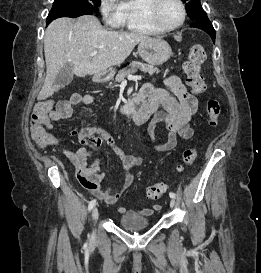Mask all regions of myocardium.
I'll return each mask as SVG.
<instances>
[{
	"mask_svg": "<svg viewBox=\"0 0 261 273\" xmlns=\"http://www.w3.org/2000/svg\"><path fill=\"white\" fill-rule=\"evenodd\" d=\"M175 1L178 3V5L180 7L182 16H181L180 22L173 27H166L159 20L158 11H159V8H160L163 0H152L151 4L149 5V19H150L151 23L156 28H158L161 32L175 31V30L179 29L184 24V22L186 20L187 12H186V7H185L183 1L182 0H175Z\"/></svg>",
	"mask_w": 261,
	"mask_h": 273,
	"instance_id": "myocardium-1",
	"label": "myocardium"
}]
</instances>
